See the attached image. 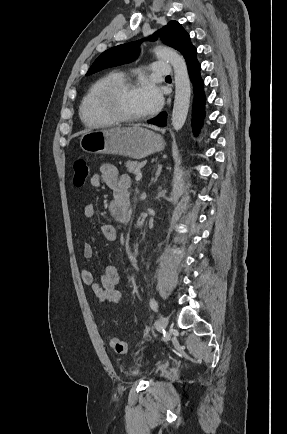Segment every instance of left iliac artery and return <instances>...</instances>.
<instances>
[{"instance_id":"obj_1","label":"left iliac artery","mask_w":287,"mask_h":434,"mask_svg":"<svg viewBox=\"0 0 287 434\" xmlns=\"http://www.w3.org/2000/svg\"><path fill=\"white\" fill-rule=\"evenodd\" d=\"M149 304H150L151 309L153 311L157 312V310H158V303H157V301L155 299H151Z\"/></svg>"}]
</instances>
